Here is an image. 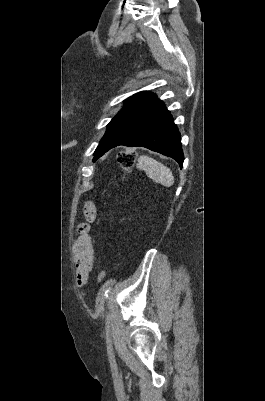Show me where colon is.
Segmentation results:
<instances>
[{"label": "colon", "instance_id": "1", "mask_svg": "<svg viewBox=\"0 0 265 401\" xmlns=\"http://www.w3.org/2000/svg\"><path fill=\"white\" fill-rule=\"evenodd\" d=\"M118 162L124 174L130 173L136 162V153L133 151L122 152L118 156ZM97 276L99 281H103L105 272L99 271Z\"/></svg>", "mask_w": 265, "mask_h": 401}]
</instances>
